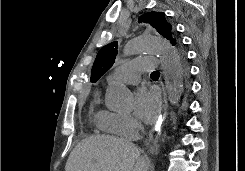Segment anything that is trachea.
<instances>
[{
    "mask_svg": "<svg viewBox=\"0 0 245 171\" xmlns=\"http://www.w3.org/2000/svg\"><path fill=\"white\" fill-rule=\"evenodd\" d=\"M159 75V72L158 71H154L151 73V77H155V76H158Z\"/></svg>",
    "mask_w": 245,
    "mask_h": 171,
    "instance_id": "trachea-1",
    "label": "trachea"
}]
</instances>
